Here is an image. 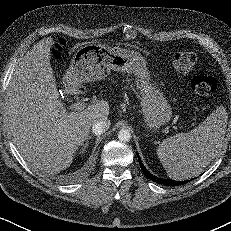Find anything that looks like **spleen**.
<instances>
[{
  "instance_id": "1",
  "label": "spleen",
  "mask_w": 231,
  "mask_h": 231,
  "mask_svg": "<svg viewBox=\"0 0 231 231\" xmlns=\"http://www.w3.org/2000/svg\"><path fill=\"white\" fill-rule=\"evenodd\" d=\"M227 118L226 108L219 106L190 132L163 140L157 154L170 178L185 180L203 172L223 146Z\"/></svg>"
}]
</instances>
